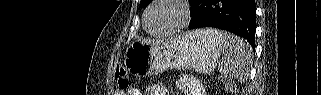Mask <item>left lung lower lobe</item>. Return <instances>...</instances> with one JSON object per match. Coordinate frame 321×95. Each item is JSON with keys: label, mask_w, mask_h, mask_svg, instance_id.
<instances>
[{"label": "left lung lower lobe", "mask_w": 321, "mask_h": 95, "mask_svg": "<svg viewBox=\"0 0 321 95\" xmlns=\"http://www.w3.org/2000/svg\"><path fill=\"white\" fill-rule=\"evenodd\" d=\"M189 28L215 27L245 38L255 48V0H192Z\"/></svg>", "instance_id": "obj_1"}]
</instances>
